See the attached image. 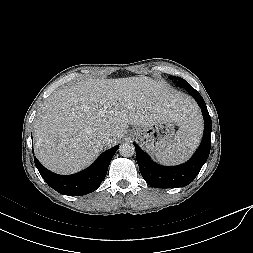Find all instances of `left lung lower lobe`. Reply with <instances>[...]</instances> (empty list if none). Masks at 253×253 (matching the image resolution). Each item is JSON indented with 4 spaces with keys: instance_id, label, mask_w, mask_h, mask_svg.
<instances>
[{
    "instance_id": "obj_1",
    "label": "left lung lower lobe",
    "mask_w": 253,
    "mask_h": 253,
    "mask_svg": "<svg viewBox=\"0 0 253 253\" xmlns=\"http://www.w3.org/2000/svg\"><path fill=\"white\" fill-rule=\"evenodd\" d=\"M186 89L199 104L205 124L202 142L192 158L178 166H160L152 162L149 156L134 143L141 175L149 185L155 188H177L190 184L200 172L210 153L212 122L206 104L191 85Z\"/></svg>"
}]
</instances>
